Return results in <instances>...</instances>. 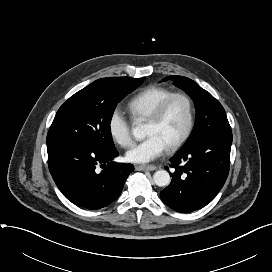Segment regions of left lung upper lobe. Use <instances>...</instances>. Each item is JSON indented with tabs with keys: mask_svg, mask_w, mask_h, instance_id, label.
Listing matches in <instances>:
<instances>
[{
	"mask_svg": "<svg viewBox=\"0 0 272 272\" xmlns=\"http://www.w3.org/2000/svg\"><path fill=\"white\" fill-rule=\"evenodd\" d=\"M166 80H173L174 85L183 89L196 107L195 126L182 149L212 135L231 133L224 108L209 92L187 77L168 76L163 79Z\"/></svg>",
	"mask_w": 272,
	"mask_h": 272,
	"instance_id": "1",
	"label": "left lung upper lobe"
}]
</instances>
